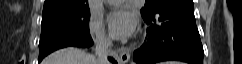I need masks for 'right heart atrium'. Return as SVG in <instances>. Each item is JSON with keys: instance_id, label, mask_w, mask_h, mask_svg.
Segmentation results:
<instances>
[{"instance_id": "d8ad5b80", "label": "right heart atrium", "mask_w": 242, "mask_h": 64, "mask_svg": "<svg viewBox=\"0 0 242 64\" xmlns=\"http://www.w3.org/2000/svg\"><path fill=\"white\" fill-rule=\"evenodd\" d=\"M89 27L98 43H106L108 41V37L106 36V33L104 31L101 19L97 17H92L90 19Z\"/></svg>"}]
</instances>
